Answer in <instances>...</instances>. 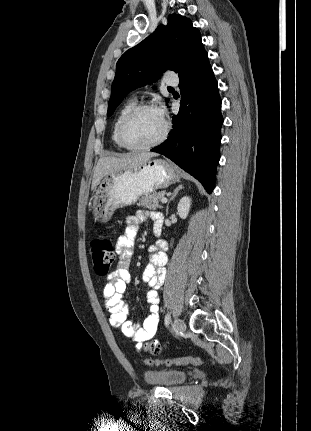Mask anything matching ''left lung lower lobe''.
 Wrapping results in <instances>:
<instances>
[{
    "mask_svg": "<svg viewBox=\"0 0 311 431\" xmlns=\"http://www.w3.org/2000/svg\"><path fill=\"white\" fill-rule=\"evenodd\" d=\"M179 79L182 99L178 115L172 118L173 129L168 139L151 151L171 159L211 193L220 158L223 118L217 81L205 50Z\"/></svg>",
    "mask_w": 311,
    "mask_h": 431,
    "instance_id": "1",
    "label": "left lung lower lobe"
}]
</instances>
